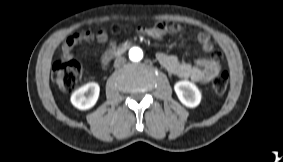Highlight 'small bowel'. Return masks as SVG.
Segmentation results:
<instances>
[{
  "label": "small bowel",
  "mask_w": 283,
  "mask_h": 162,
  "mask_svg": "<svg viewBox=\"0 0 283 162\" xmlns=\"http://www.w3.org/2000/svg\"><path fill=\"white\" fill-rule=\"evenodd\" d=\"M182 28L176 23L160 22L148 27H140L139 31L151 38L160 39L166 34H177ZM96 40L100 44L108 42V36L105 32H99L94 35L91 31L75 32L71 34L62 46V59H72L73 48L81 42H91ZM197 40L206 53H213L214 47L207 33L201 32L197 35ZM107 51L100 58V67L107 68L113 62L111 52L116 49L114 42L107 44ZM159 63L173 76L181 79H190L194 82L208 83L220 72L219 61L220 53H215L210 58H198L194 65L179 60L178 57L164 52L157 54Z\"/></svg>",
  "instance_id": "obj_1"
}]
</instances>
